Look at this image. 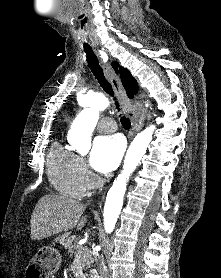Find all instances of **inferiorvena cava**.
Listing matches in <instances>:
<instances>
[{"label": "inferior vena cava", "mask_w": 221, "mask_h": 278, "mask_svg": "<svg viewBox=\"0 0 221 278\" xmlns=\"http://www.w3.org/2000/svg\"><path fill=\"white\" fill-rule=\"evenodd\" d=\"M95 263L97 265V269L100 275V278H109V272L107 269V266L105 264V261L101 255L96 254L94 256Z\"/></svg>", "instance_id": "inferior-vena-cava-1"}]
</instances>
